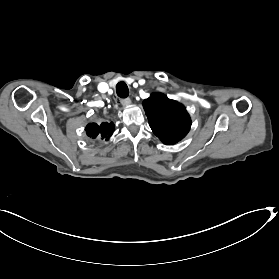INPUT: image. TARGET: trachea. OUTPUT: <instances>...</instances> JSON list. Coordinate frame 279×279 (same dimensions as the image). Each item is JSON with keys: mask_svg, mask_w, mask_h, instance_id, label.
I'll list each match as a JSON object with an SVG mask.
<instances>
[{"mask_svg": "<svg viewBox=\"0 0 279 279\" xmlns=\"http://www.w3.org/2000/svg\"><path fill=\"white\" fill-rule=\"evenodd\" d=\"M116 93L121 98H126L129 95V89L124 81H120L116 85Z\"/></svg>", "mask_w": 279, "mask_h": 279, "instance_id": "3493384b", "label": "trachea"}]
</instances>
